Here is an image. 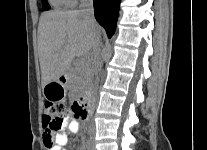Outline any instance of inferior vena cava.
Segmentation results:
<instances>
[{"mask_svg": "<svg viewBox=\"0 0 207 150\" xmlns=\"http://www.w3.org/2000/svg\"><path fill=\"white\" fill-rule=\"evenodd\" d=\"M79 8L80 12L83 13L88 19L94 20L93 0H80ZM91 60L96 75V83H98V67L100 65V39H98L93 45Z\"/></svg>", "mask_w": 207, "mask_h": 150, "instance_id": "inferior-vena-cava-1", "label": "inferior vena cava"}]
</instances>
